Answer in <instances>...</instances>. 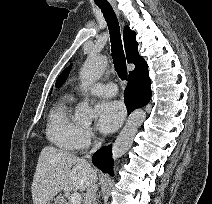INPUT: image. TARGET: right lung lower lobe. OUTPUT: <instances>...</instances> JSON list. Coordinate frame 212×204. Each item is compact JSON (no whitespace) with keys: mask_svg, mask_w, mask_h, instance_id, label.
Masks as SVG:
<instances>
[{"mask_svg":"<svg viewBox=\"0 0 212 204\" xmlns=\"http://www.w3.org/2000/svg\"><path fill=\"white\" fill-rule=\"evenodd\" d=\"M151 80L148 75V66H143L132 75H129L128 85L124 93V101L130 114L136 108H140L149 103L151 98ZM93 164L107 172L113 174L112 148L105 146L98 150L92 158Z\"/></svg>","mask_w":212,"mask_h":204,"instance_id":"obj_1","label":"right lung lower lobe"}]
</instances>
